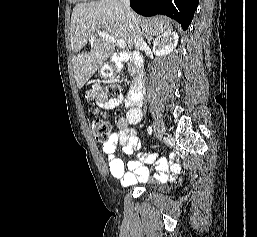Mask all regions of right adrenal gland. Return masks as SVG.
Here are the masks:
<instances>
[{"label":"right adrenal gland","mask_w":257,"mask_h":237,"mask_svg":"<svg viewBox=\"0 0 257 237\" xmlns=\"http://www.w3.org/2000/svg\"><path fill=\"white\" fill-rule=\"evenodd\" d=\"M151 40H152V37H148V38H147V42H148V44H150V43H151Z\"/></svg>","instance_id":"1"}]
</instances>
